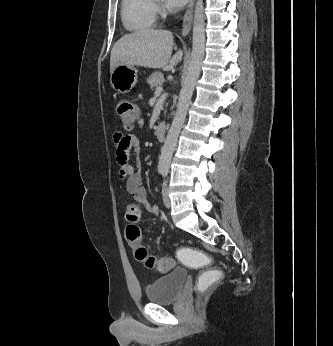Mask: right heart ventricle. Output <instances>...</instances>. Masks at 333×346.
I'll use <instances>...</instances> for the list:
<instances>
[{
    "label": "right heart ventricle",
    "mask_w": 333,
    "mask_h": 346,
    "mask_svg": "<svg viewBox=\"0 0 333 346\" xmlns=\"http://www.w3.org/2000/svg\"><path fill=\"white\" fill-rule=\"evenodd\" d=\"M121 18L124 27L129 31L151 29L156 20L153 0H122Z\"/></svg>",
    "instance_id": "e07e8e85"
}]
</instances>
